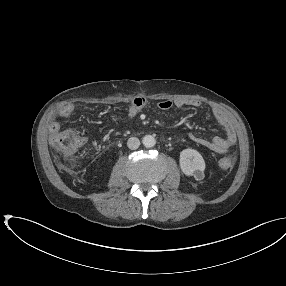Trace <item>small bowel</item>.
Instances as JSON below:
<instances>
[{
	"label": "small bowel",
	"instance_id": "c3829d8e",
	"mask_svg": "<svg viewBox=\"0 0 286 286\" xmlns=\"http://www.w3.org/2000/svg\"><path fill=\"white\" fill-rule=\"evenodd\" d=\"M148 104V100L145 97H136L128 108V117L134 118L138 115ZM184 106H189L193 108H198L200 102L196 100H162L158 103V108L162 111H167L173 107L182 108ZM75 111V106L73 104H66L59 108L57 115L62 118L70 117ZM212 114L214 118L221 124L226 132L224 138H212L207 139L200 137L194 133L189 134V138L197 145L211 150L216 153L225 154L231 151L236 143V133L233 122L230 116L221 108L214 107L212 109ZM60 130V123L56 120L52 121L50 124V134L51 136Z\"/></svg>",
	"mask_w": 286,
	"mask_h": 286
}]
</instances>
